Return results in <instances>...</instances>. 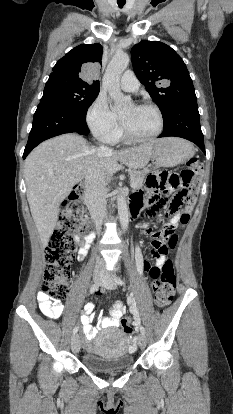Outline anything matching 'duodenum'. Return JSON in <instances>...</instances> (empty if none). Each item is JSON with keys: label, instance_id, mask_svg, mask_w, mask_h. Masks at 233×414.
I'll return each instance as SVG.
<instances>
[{"label": "duodenum", "instance_id": "obj_1", "mask_svg": "<svg viewBox=\"0 0 233 414\" xmlns=\"http://www.w3.org/2000/svg\"><path fill=\"white\" fill-rule=\"evenodd\" d=\"M136 215V212H134L133 210H132V216H135Z\"/></svg>", "mask_w": 233, "mask_h": 414}]
</instances>
